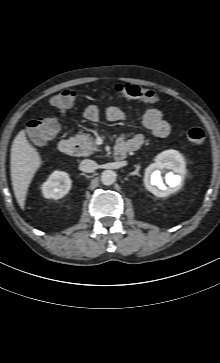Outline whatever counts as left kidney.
<instances>
[{
	"mask_svg": "<svg viewBox=\"0 0 220 363\" xmlns=\"http://www.w3.org/2000/svg\"><path fill=\"white\" fill-rule=\"evenodd\" d=\"M161 171H169L165 175L168 186L162 181ZM185 172L186 166L182 155L175 150H166L157 155L155 162L145 169L144 185L155 196L167 197L179 189Z\"/></svg>",
	"mask_w": 220,
	"mask_h": 363,
	"instance_id": "obj_1",
	"label": "left kidney"
}]
</instances>
